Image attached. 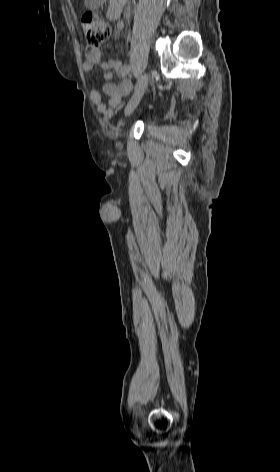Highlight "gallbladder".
I'll list each match as a JSON object with an SVG mask.
<instances>
[{
  "mask_svg": "<svg viewBox=\"0 0 280 472\" xmlns=\"http://www.w3.org/2000/svg\"><path fill=\"white\" fill-rule=\"evenodd\" d=\"M106 0H85L86 8L90 10H98Z\"/></svg>",
  "mask_w": 280,
  "mask_h": 472,
  "instance_id": "bac80fb5",
  "label": "gallbladder"
}]
</instances>
